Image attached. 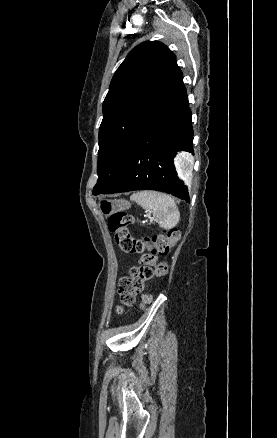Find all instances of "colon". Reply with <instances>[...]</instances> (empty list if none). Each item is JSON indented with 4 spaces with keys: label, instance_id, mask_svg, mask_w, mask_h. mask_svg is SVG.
<instances>
[{
    "label": "colon",
    "instance_id": "1",
    "mask_svg": "<svg viewBox=\"0 0 277 438\" xmlns=\"http://www.w3.org/2000/svg\"><path fill=\"white\" fill-rule=\"evenodd\" d=\"M135 220L130 215L120 212L111 215L108 219V228L114 237L117 247L126 254H139L141 263L130 269L129 276L118 280V296L120 304L116 311L120 312L124 306L136 304V298L142 294L145 281L152 278L154 270L159 276H165L169 267L167 263L156 261V256L173 248L179 240V231L176 228L162 229L156 236L133 237L129 226ZM151 302V295L142 296L140 306L144 307Z\"/></svg>",
    "mask_w": 277,
    "mask_h": 438
}]
</instances>
